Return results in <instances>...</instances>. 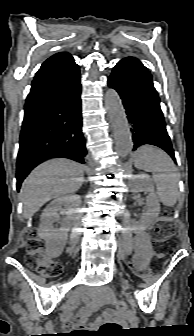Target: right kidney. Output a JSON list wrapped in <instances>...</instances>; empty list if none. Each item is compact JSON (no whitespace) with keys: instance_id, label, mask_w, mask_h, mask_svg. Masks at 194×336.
Wrapping results in <instances>:
<instances>
[{"instance_id":"obj_1","label":"right kidney","mask_w":194,"mask_h":336,"mask_svg":"<svg viewBox=\"0 0 194 336\" xmlns=\"http://www.w3.org/2000/svg\"><path fill=\"white\" fill-rule=\"evenodd\" d=\"M80 204L79 195H66L54 199L43 210L38 235L45 240L46 250L51 256L58 257L63 252L73 216ZM60 220L61 227L56 228L54 223Z\"/></svg>"}]
</instances>
